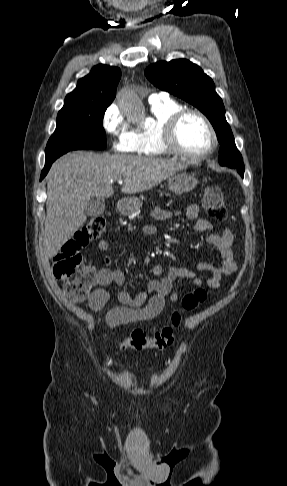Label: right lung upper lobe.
Returning a JSON list of instances; mask_svg holds the SVG:
<instances>
[{
  "mask_svg": "<svg viewBox=\"0 0 287 486\" xmlns=\"http://www.w3.org/2000/svg\"><path fill=\"white\" fill-rule=\"evenodd\" d=\"M121 77V70L108 65H96L90 74L79 79L77 87L69 93L64 106L85 104L110 105L116 95V87Z\"/></svg>",
  "mask_w": 287,
  "mask_h": 486,
  "instance_id": "right-lung-upper-lobe-1",
  "label": "right lung upper lobe"
}]
</instances>
